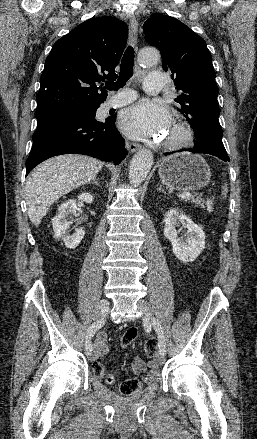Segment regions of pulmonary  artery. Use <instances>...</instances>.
I'll use <instances>...</instances> for the list:
<instances>
[{
    "mask_svg": "<svg viewBox=\"0 0 257 439\" xmlns=\"http://www.w3.org/2000/svg\"><path fill=\"white\" fill-rule=\"evenodd\" d=\"M165 84V76L162 73H149L146 75L143 88L147 93L155 94L161 92ZM136 95L126 90L107 101L108 107H120L135 99Z\"/></svg>",
    "mask_w": 257,
    "mask_h": 439,
    "instance_id": "pulmonary-artery-1",
    "label": "pulmonary artery"
}]
</instances>
